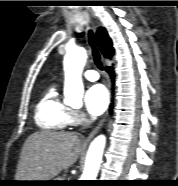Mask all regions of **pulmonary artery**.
<instances>
[{
    "instance_id": "pulmonary-artery-1",
    "label": "pulmonary artery",
    "mask_w": 178,
    "mask_h": 186,
    "mask_svg": "<svg viewBox=\"0 0 178 186\" xmlns=\"http://www.w3.org/2000/svg\"><path fill=\"white\" fill-rule=\"evenodd\" d=\"M84 77L89 81H96L99 78V74L95 70H87L84 72Z\"/></svg>"
}]
</instances>
